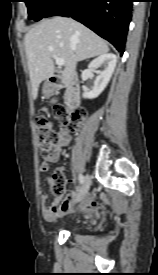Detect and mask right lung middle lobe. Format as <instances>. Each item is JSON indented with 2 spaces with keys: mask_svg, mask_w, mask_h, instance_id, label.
Listing matches in <instances>:
<instances>
[{
  "mask_svg": "<svg viewBox=\"0 0 158 275\" xmlns=\"http://www.w3.org/2000/svg\"><path fill=\"white\" fill-rule=\"evenodd\" d=\"M60 0H25L30 19L39 21Z\"/></svg>",
  "mask_w": 158,
  "mask_h": 275,
  "instance_id": "right-lung-middle-lobe-1",
  "label": "right lung middle lobe"
}]
</instances>
